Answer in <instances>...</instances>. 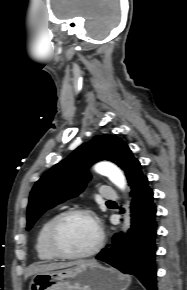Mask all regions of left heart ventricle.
<instances>
[{"mask_svg":"<svg viewBox=\"0 0 187 290\" xmlns=\"http://www.w3.org/2000/svg\"><path fill=\"white\" fill-rule=\"evenodd\" d=\"M60 247L70 253L90 250L97 240L93 222L84 216H71L64 220L57 232Z\"/></svg>","mask_w":187,"mask_h":290,"instance_id":"obj_1","label":"left heart ventricle"}]
</instances>
